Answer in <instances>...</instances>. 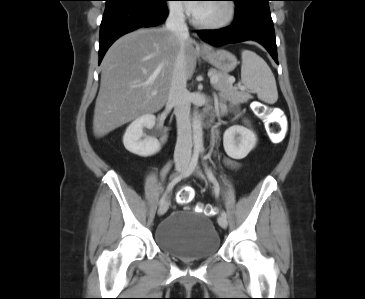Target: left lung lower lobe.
I'll use <instances>...</instances> for the list:
<instances>
[{
  "instance_id": "1",
  "label": "left lung lower lobe",
  "mask_w": 365,
  "mask_h": 299,
  "mask_svg": "<svg viewBox=\"0 0 365 299\" xmlns=\"http://www.w3.org/2000/svg\"><path fill=\"white\" fill-rule=\"evenodd\" d=\"M268 1L270 0L235 1V20L232 25L218 30H200L197 33L204 41L214 46L247 40L256 41L266 48L278 64L275 32Z\"/></svg>"
}]
</instances>
